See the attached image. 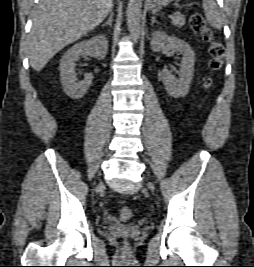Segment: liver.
<instances>
[{
    "mask_svg": "<svg viewBox=\"0 0 254 267\" xmlns=\"http://www.w3.org/2000/svg\"><path fill=\"white\" fill-rule=\"evenodd\" d=\"M113 0H40L28 40L32 68L39 72L65 46L98 26Z\"/></svg>",
    "mask_w": 254,
    "mask_h": 267,
    "instance_id": "6515ba94",
    "label": "liver"
}]
</instances>
